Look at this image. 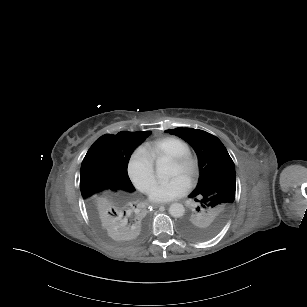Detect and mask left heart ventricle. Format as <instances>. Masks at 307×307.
Returning a JSON list of instances; mask_svg holds the SVG:
<instances>
[{
    "label": "left heart ventricle",
    "instance_id": "left-heart-ventricle-1",
    "mask_svg": "<svg viewBox=\"0 0 307 307\" xmlns=\"http://www.w3.org/2000/svg\"><path fill=\"white\" fill-rule=\"evenodd\" d=\"M192 165H193L192 163H189L188 168H191ZM171 173H172L173 176L174 175L184 176V173H183L182 169L178 165L173 163V162H172V166H171Z\"/></svg>",
    "mask_w": 307,
    "mask_h": 307
}]
</instances>
